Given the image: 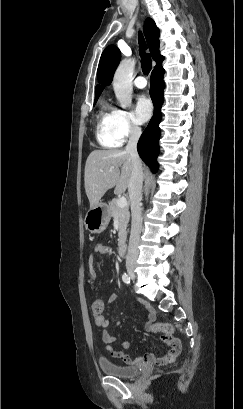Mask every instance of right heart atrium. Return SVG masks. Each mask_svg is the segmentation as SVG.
<instances>
[{"instance_id":"right-heart-atrium-1","label":"right heart atrium","mask_w":243,"mask_h":409,"mask_svg":"<svg viewBox=\"0 0 243 409\" xmlns=\"http://www.w3.org/2000/svg\"><path fill=\"white\" fill-rule=\"evenodd\" d=\"M113 132L120 141L136 135L139 127L132 121L131 115L124 109H115L112 117Z\"/></svg>"}]
</instances>
